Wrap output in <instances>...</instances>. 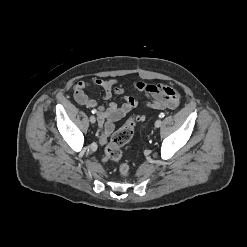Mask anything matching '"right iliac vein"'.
<instances>
[{
  "label": "right iliac vein",
  "instance_id": "right-iliac-vein-1",
  "mask_svg": "<svg viewBox=\"0 0 247 247\" xmlns=\"http://www.w3.org/2000/svg\"><path fill=\"white\" fill-rule=\"evenodd\" d=\"M90 122L93 123V124L96 122V119H95L94 116H90Z\"/></svg>",
  "mask_w": 247,
  "mask_h": 247
}]
</instances>
